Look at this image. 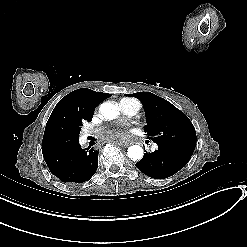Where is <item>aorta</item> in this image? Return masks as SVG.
Wrapping results in <instances>:
<instances>
[{"instance_id":"aorta-1","label":"aorta","mask_w":247,"mask_h":247,"mask_svg":"<svg viewBox=\"0 0 247 247\" xmlns=\"http://www.w3.org/2000/svg\"><path fill=\"white\" fill-rule=\"evenodd\" d=\"M100 114L107 120H113L119 115V108L116 104L108 101L100 105ZM128 157L133 161H139L142 159L144 152L141 146L132 145L127 150Z\"/></svg>"}]
</instances>
